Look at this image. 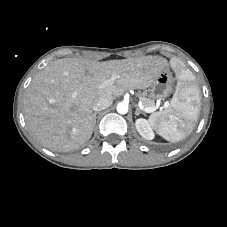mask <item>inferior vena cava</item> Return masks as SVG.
Masks as SVG:
<instances>
[{
	"label": "inferior vena cava",
	"mask_w": 227,
	"mask_h": 227,
	"mask_svg": "<svg viewBox=\"0 0 227 227\" xmlns=\"http://www.w3.org/2000/svg\"><path fill=\"white\" fill-rule=\"evenodd\" d=\"M112 102L113 97L111 95H104L97 100V102L93 106V110L96 112L102 111L111 106Z\"/></svg>",
	"instance_id": "1"
}]
</instances>
